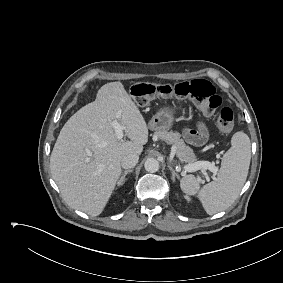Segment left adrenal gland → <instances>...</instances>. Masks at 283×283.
I'll list each match as a JSON object with an SVG mask.
<instances>
[{"label":"left adrenal gland","instance_id":"left-adrenal-gland-1","mask_svg":"<svg viewBox=\"0 0 283 283\" xmlns=\"http://www.w3.org/2000/svg\"><path fill=\"white\" fill-rule=\"evenodd\" d=\"M168 167L172 172V180H173V182H175V178L179 179L180 177L170 165Z\"/></svg>","mask_w":283,"mask_h":283}]
</instances>
